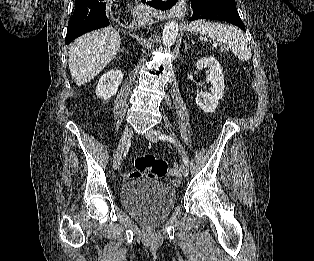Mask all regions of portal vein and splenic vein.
I'll use <instances>...</instances> for the list:
<instances>
[{
  "instance_id": "obj_1",
  "label": "portal vein and splenic vein",
  "mask_w": 314,
  "mask_h": 261,
  "mask_svg": "<svg viewBox=\"0 0 314 261\" xmlns=\"http://www.w3.org/2000/svg\"><path fill=\"white\" fill-rule=\"evenodd\" d=\"M213 46H214V47H216V46H217V44H216V43H214V44H213Z\"/></svg>"
}]
</instances>
